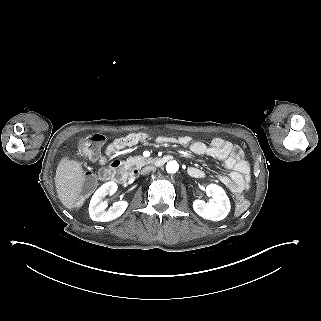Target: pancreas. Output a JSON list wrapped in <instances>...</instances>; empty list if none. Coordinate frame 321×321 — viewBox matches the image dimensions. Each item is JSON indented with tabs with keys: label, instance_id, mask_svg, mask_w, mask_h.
<instances>
[{
	"label": "pancreas",
	"instance_id": "obj_1",
	"mask_svg": "<svg viewBox=\"0 0 321 321\" xmlns=\"http://www.w3.org/2000/svg\"><path fill=\"white\" fill-rule=\"evenodd\" d=\"M148 163H151L149 158L143 156H133L126 160L125 166L126 168L135 166V168L140 169Z\"/></svg>",
	"mask_w": 321,
	"mask_h": 321
}]
</instances>
